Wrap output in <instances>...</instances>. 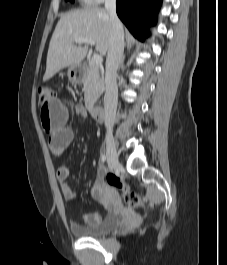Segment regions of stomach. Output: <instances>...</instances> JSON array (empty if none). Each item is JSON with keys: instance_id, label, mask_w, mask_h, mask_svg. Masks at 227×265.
<instances>
[{"instance_id": "0dacf381", "label": "stomach", "mask_w": 227, "mask_h": 265, "mask_svg": "<svg viewBox=\"0 0 227 265\" xmlns=\"http://www.w3.org/2000/svg\"><path fill=\"white\" fill-rule=\"evenodd\" d=\"M68 80L72 83H81L84 80V73L80 65L70 66L67 71Z\"/></svg>"}]
</instances>
